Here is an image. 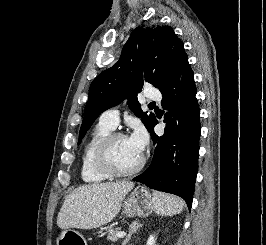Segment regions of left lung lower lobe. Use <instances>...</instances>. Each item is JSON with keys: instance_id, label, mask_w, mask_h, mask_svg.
<instances>
[{"instance_id": "1", "label": "left lung lower lobe", "mask_w": 266, "mask_h": 245, "mask_svg": "<svg viewBox=\"0 0 266 245\" xmlns=\"http://www.w3.org/2000/svg\"><path fill=\"white\" fill-rule=\"evenodd\" d=\"M160 92L163 108L173 113V124L165 129L163 136L158 137L153 130L158 123L155 117L148 129L156 144L153 160L149 168L133 178V181L178 195L187 202L190 209L198 171L201 127L194 75L188 58L178 64ZM168 114L164 121L170 123Z\"/></svg>"}]
</instances>
